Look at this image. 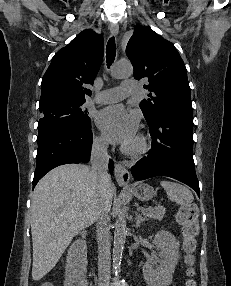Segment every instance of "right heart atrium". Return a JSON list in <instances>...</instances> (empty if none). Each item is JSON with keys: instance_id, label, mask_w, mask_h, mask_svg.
<instances>
[{"instance_id": "1", "label": "right heart atrium", "mask_w": 231, "mask_h": 286, "mask_svg": "<svg viewBox=\"0 0 231 286\" xmlns=\"http://www.w3.org/2000/svg\"><path fill=\"white\" fill-rule=\"evenodd\" d=\"M94 146L100 150H104L107 146L106 139L99 135L94 138Z\"/></svg>"}]
</instances>
